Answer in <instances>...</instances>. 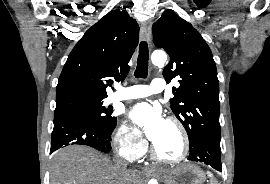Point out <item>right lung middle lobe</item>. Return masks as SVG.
I'll use <instances>...</instances> for the list:
<instances>
[{
  "label": "right lung middle lobe",
  "mask_w": 270,
  "mask_h": 184,
  "mask_svg": "<svg viewBox=\"0 0 270 184\" xmlns=\"http://www.w3.org/2000/svg\"><path fill=\"white\" fill-rule=\"evenodd\" d=\"M104 98L84 95H67L56 98L54 116L60 114H78L88 118L103 129L110 131L116 126V117L103 106Z\"/></svg>",
  "instance_id": "1"
}]
</instances>
